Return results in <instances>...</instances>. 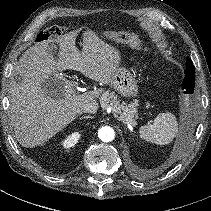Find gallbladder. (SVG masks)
<instances>
[{
  "label": "gallbladder",
  "mask_w": 211,
  "mask_h": 211,
  "mask_svg": "<svg viewBox=\"0 0 211 211\" xmlns=\"http://www.w3.org/2000/svg\"><path fill=\"white\" fill-rule=\"evenodd\" d=\"M58 45L56 43H50L49 44V48H48V52L50 54H52L53 56H56L58 54ZM64 81L59 78V77H51L49 79V81H47L44 85H43V89L44 91L51 97H58V94H56L55 92H53L51 90V87L53 85H57L58 83H63Z\"/></svg>",
  "instance_id": "obj_1"
}]
</instances>
